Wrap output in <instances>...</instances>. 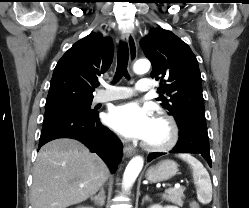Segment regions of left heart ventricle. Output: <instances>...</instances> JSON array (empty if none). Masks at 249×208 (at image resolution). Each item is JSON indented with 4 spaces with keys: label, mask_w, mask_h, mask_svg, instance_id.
I'll return each instance as SVG.
<instances>
[{
    "label": "left heart ventricle",
    "mask_w": 249,
    "mask_h": 208,
    "mask_svg": "<svg viewBox=\"0 0 249 208\" xmlns=\"http://www.w3.org/2000/svg\"><path fill=\"white\" fill-rule=\"evenodd\" d=\"M167 137H168V129L166 125H164L162 122L155 120L151 136L147 142L162 143L167 139Z\"/></svg>",
    "instance_id": "1"
}]
</instances>
